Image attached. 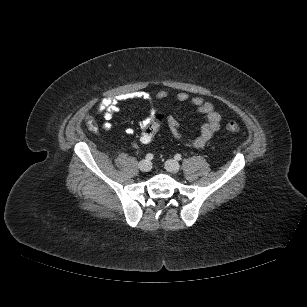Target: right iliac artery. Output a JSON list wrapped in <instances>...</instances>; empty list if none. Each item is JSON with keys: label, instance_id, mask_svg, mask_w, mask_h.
<instances>
[{"label": "right iliac artery", "instance_id": "obj_1", "mask_svg": "<svg viewBox=\"0 0 307 307\" xmlns=\"http://www.w3.org/2000/svg\"><path fill=\"white\" fill-rule=\"evenodd\" d=\"M145 158L147 161H151L153 159V154L148 153Z\"/></svg>", "mask_w": 307, "mask_h": 307}]
</instances>
